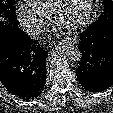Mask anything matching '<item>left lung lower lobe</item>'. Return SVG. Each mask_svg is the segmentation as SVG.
Returning <instances> with one entry per match:
<instances>
[{
    "label": "left lung lower lobe",
    "instance_id": "1",
    "mask_svg": "<svg viewBox=\"0 0 113 113\" xmlns=\"http://www.w3.org/2000/svg\"><path fill=\"white\" fill-rule=\"evenodd\" d=\"M81 59L76 70L80 84L91 92L113 85V21L89 26L80 34Z\"/></svg>",
    "mask_w": 113,
    "mask_h": 113
}]
</instances>
